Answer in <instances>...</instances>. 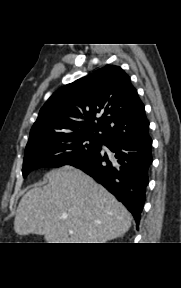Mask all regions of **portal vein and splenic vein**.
Instances as JSON below:
<instances>
[{
	"label": "portal vein and splenic vein",
	"mask_w": 181,
	"mask_h": 288,
	"mask_svg": "<svg viewBox=\"0 0 181 288\" xmlns=\"http://www.w3.org/2000/svg\"><path fill=\"white\" fill-rule=\"evenodd\" d=\"M62 218H63V219H67V216H66V215H63Z\"/></svg>",
	"instance_id": "18ae733b"
}]
</instances>
